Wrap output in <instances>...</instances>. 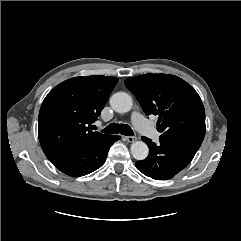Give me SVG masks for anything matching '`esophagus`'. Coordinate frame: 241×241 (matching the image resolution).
<instances>
[{
    "label": "esophagus",
    "mask_w": 241,
    "mask_h": 241,
    "mask_svg": "<svg viewBox=\"0 0 241 241\" xmlns=\"http://www.w3.org/2000/svg\"><path fill=\"white\" fill-rule=\"evenodd\" d=\"M136 139L137 138L135 136H125V140L129 143L136 141Z\"/></svg>",
    "instance_id": "1"
}]
</instances>
